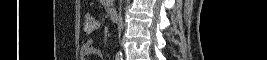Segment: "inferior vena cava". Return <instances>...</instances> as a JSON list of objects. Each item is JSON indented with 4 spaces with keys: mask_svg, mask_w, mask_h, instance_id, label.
I'll list each match as a JSON object with an SVG mask.
<instances>
[{
    "mask_svg": "<svg viewBox=\"0 0 267 60\" xmlns=\"http://www.w3.org/2000/svg\"><path fill=\"white\" fill-rule=\"evenodd\" d=\"M122 28V22L120 21V23H119V29H121Z\"/></svg>",
    "mask_w": 267,
    "mask_h": 60,
    "instance_id": "inferior-vena-cava-1",
    "label": "inferior vena cava"
}]
</instances>
